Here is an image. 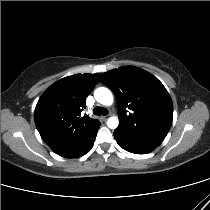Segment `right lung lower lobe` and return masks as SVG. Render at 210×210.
I'll return each instance as SVG.
<instances>
[{"label":"right lung lower lobe","mask_w":210,"mask_h":210,"mask_svg":"<svg viewBox=\"0 0 210 210\" xmlns=\"http://www.w3.org/2000/svg\"><path fill=\"white\" fill-rule=\"evenodd\" d=\"M96 134L92 137L91 140H89L85 144L81 145L80 147L75 149L73 152L69 153L68 155H66L64 157H66V158H76V157H80V156L86 154L93 147L94 140L96 138Z\"/></svg>","instance_id":"obj_1"}]
</instances>
